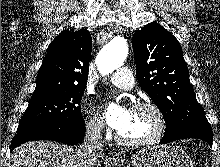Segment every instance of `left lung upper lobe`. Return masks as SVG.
<instances>
[{
  "instance_id": "left-lung-upper-lobe-1",
  "label": "left lung upper lobe",
  "mask_w": 220,
  "mask_h": 167,
  "mask_svg": "<svg viewBox=\"0 0 220 167\" xmlns=\"http://www.w3.org/2000/svg\"><path fill=\"white\" fill-rule=\"evenodd\" d=\"M136 74L166 122L164 136L209 124L189 81L178 40L161 25L149 23L133 35Z\"/></svg>"
}]
</instances>
